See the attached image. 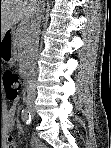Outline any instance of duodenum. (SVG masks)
Wrapping results in <instances>:
<instances>
[{
    "label": "duodenum",
    "mask_w": 111,
    "mask_h": 148,
    "mask_svg": "<svg viewBox=\"0 0 111 148\" xmlns=\"http://www.w3.org/2000/svg\"><path fill=\"white\" fill-rule=\"evenodd\" d=\"M30 82V78L28 76H26V83Z\"/></svg>",
    "instance_id": "obj_1"
}]
</instances>
